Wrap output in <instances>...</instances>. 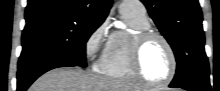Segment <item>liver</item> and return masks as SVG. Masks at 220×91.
Here are the masks:
<instances>
[{
	"instance_id": "obj_1",
	"label": "liver",
	"mask_w": 220,
	"mask_h": 91,
	"mask_svg": "<svg viewBox=\"0 0 220 91\" xmlns=\"http://www.w3.org/2000/svg\"><path fill=\"white\" fill-rule=\"evenodd\" d=\"M28 91H140V89L124 81L86 73L77 67H65L43 74Z\"/></svg>"
}]
</instances>
